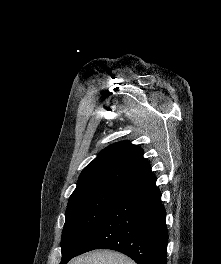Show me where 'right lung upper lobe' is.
Segmentation results:
<instances>
[{"mask_svg": "<svg viewBox=\"0 0 221 264\" xmlns=\"http://www.w3.org/2000/svg\"><path fill=\"white\" fill-rule=\"evenodd\" d=\"M143 149L128 141L105 148L81 172L74 193L103 186L128 187L152 174Z\"/></svg>", "mask_w": 221, "mask_h": 264, "instance_id": "right-lung-upper-lobe-1", "label": "right lung upper lobe"}]
</instances>
